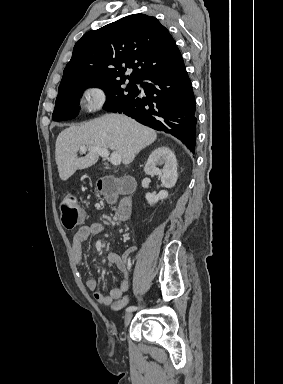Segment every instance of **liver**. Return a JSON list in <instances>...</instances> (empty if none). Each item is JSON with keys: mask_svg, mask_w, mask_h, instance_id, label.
I'll use <instances>...</instances> for the list:
<instances>
[{"mask_svg": "<svg viewBox=\"0 0 283 384\" xmlns=\"http://www.w3.org/2000/svg\"><path fill=\"white\" fill-rule=\"evenodd\" d=\"M157 140L155 130L146 128L123 114H105L84 126H70L56 140L55 160L59 178L68 180L76 170H84L96 164L99 154L89 152L77 158L80 146H98L118 152L123 164H131L136 154Z\"/></svg>", "mask_w": 283, "mask_h": 384, "instance_id": "1", "label": "liver"}]
</instances>
